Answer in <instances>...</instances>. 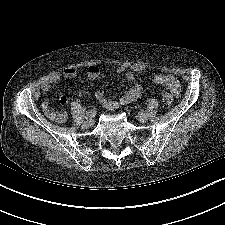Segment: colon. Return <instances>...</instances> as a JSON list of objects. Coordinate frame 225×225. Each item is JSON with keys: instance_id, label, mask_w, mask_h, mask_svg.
<instances>
[{"instance_id": "colon-1", "label": "colon", "mask_w": 225, "mask_h": 225, "mask_svg": "<svg viewBox=\"0 0 225 225\" xmlns=\"http://www.w3.org/2000/svg\"><path fill=\"white\" fill-rule=\"evenodd\" d=\"M163 100H164L165 106H167V107L170 106L172 101H173L172 95L169 94V93H165L164 96H163ZM62 119H63V116H59V117H57L56 120L60 121Z\"/></svg>"}]
</instances>
